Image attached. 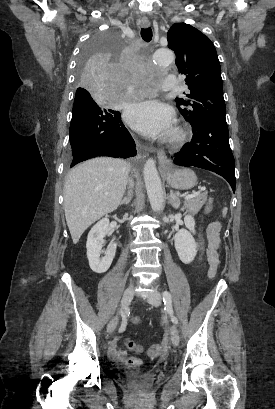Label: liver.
<instances>
[{
    "instance_id": "obj_1",
    "label": "liver",
    "mask_w": 275,
    "mask_h": 409,
    "mask_svg": "<svg viewBox=\"0 0 275 409\" xmlns=\"http://www.w3.org/2000/svg\"><path fill=\"white\" fill-rule=\"evenodd\" d=\"M121 158H91L71 168L64 188L66 223L74 245L84 231L119 207L128 180Z\"/></svg>"
}]
</instances>
